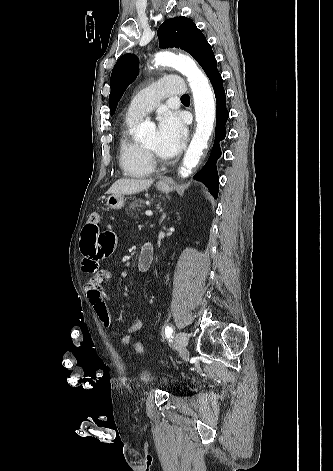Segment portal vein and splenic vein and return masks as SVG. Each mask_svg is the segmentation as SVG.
Returning <instances> with one entry per match:
<instances>
[{"instance_id": "1", "label": "portal vein and splenic vein", "mask_w": 333, "mask_h": 471, "mask_svg": "<svg viewBox=\"0 0 333 471\" xmlns=\"http://www.w3.org/2000/svg\"><path fill=\"white\" fill-rule=\"evenodd\" d=\"M145 215H146V216H152V215H153V213H152V211H150V210H147V211H145Z\"/></svg>"}]
</instances>
